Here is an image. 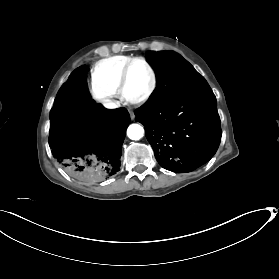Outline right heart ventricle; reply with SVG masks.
Wrapping results in <instances>:
<instances>
[{
  "mask_svg": "<svg viewBox=\"0 0 279 279\" xmlns=\"http://www.w3.org/2000/svg\"><path fill=\"white\" fill-rule=\"evenodd\" d=\"M131 58V56L118 55L95 63L90 73L92 85L101 86L112 95H117L121 70Z\"/></svg>",
  "mask_w": 279,
  "mask_h": 279,
  "instance_id": "e07e8e85",
  "label": "right heart ventricle"
}]
</instances>
